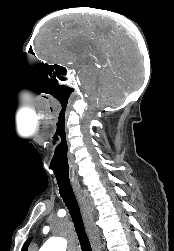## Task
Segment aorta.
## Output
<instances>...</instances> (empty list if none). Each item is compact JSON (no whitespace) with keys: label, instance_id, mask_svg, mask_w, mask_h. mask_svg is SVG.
<instances>
[{"label":"aorta","instance_id":"aorta-1","mask_svg":"<svg viewBox=\"0 0 174 251\" xmlns=\"http://www.w3.org/2000/svg\"><path fill=\"white\" fill-rule=\"evenodd\" d=\"M66 245V241L60 238H51L41 247L39 251H65Z\"/></svg>","mask_w":174,"mask_h":251}]
</instances>
